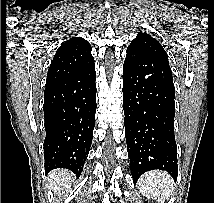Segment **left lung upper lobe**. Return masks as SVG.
Returning <instances> with one entry per match:
<instances>
[{"instance_id": "1", "label": "left lung upper lobe", "mask_w": 214, "mask_h": 203, "mask_svg": "<svg viewBox=\"0 0 214 203\" xmlns=\"http://www.w3.org/2000/svg\"><path fill=\"white\" fill-rule=\"evenodd\" d=\"M127 50L144 53L169 64L167 53L164 48L156 39L145 32L138 33L136 39L131 42Z\"/></svg>"}]
</instances>
